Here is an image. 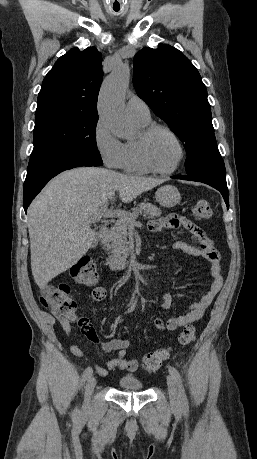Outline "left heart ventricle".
<instances>
[{
  "instance_id": "b2bd125f",
  "label": "left heart ventricle",
  "mask_w": 257,
  "mask_h": 459,
  "mask_svg": "<svg viewBox=\"0 0 257 459\" xmlns=\"http://www.w3.org/2000/svg\"><path fill=\"white\" fill-rule=\"evenodd\" d=\"M148 155L156 167L170 169L179 158V148L170 135L158 131L148 142Z\"/></svg>"
}]
</instances>
